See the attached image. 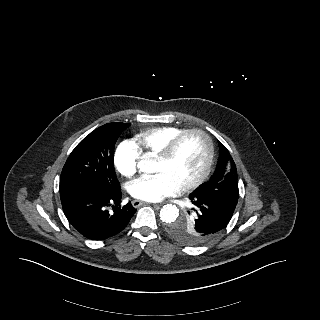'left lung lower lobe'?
Instances as JSON below:
<instances>
[{"label":"left lung lower lobe","mask_w":320,"mask_h":320,"mask_svg":"<svg viewBox=\"0 0 320 320\" xmlns=\"http://www.w3.org/2000/svg\"><path fill=\"white\" fill-rule=\"evenodd\" d=\"M189 199L198 209L200 234L206 242L223 231L236 207L198 192H192Z\"/></svg>","instance_id":"0a47b994"}]
</instances>
